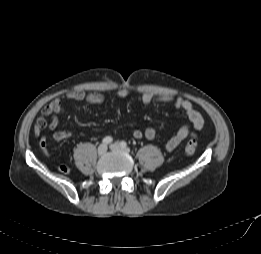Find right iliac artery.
<instances>
[{
  "mask_svg": "<svg viewBox=\"0 0 261 254\" xmlns=\"http://www.w3.org/2000/svg\"><path fill=\"white\" fill-rule=\"evenodd\" d=\"M113 141L112 137L110 136H106L105 138H103L102 142L103 144H110Z\"/></svg>",
  "mask_w": 261,
  "mask_h": 254,
  "instance_id": "obj_1",
  "label": "right iliac artery"
}]
</instances>
